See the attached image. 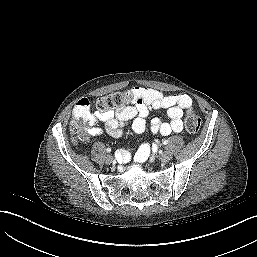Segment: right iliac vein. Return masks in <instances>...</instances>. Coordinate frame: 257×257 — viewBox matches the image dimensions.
Here are the masks:
<instances>
[{"label": "right iliac vein", "instance_id": "63e3f726", "mask_svg": "<svg viewBox=\"0 0 257 257\" xmlns=\"http://www.w3.org/2000/svg\"><path fill=\"white\" fill-rule=\"evenodd\" d=\"M105 161H106L107 164H111L114 161V158L111 155H107L105 157Z\"/></svg>", "mask_w": 257, "mask_h": 257}]
</instances>
